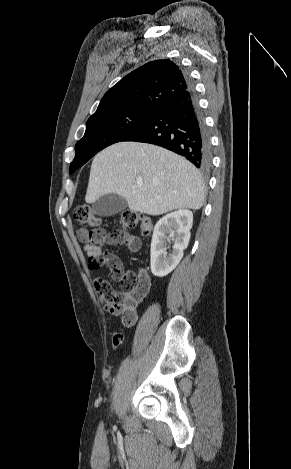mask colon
<instances>
[{
  "mask_svg": "<svg viewBox=\"0 0 291 469\" xmlns=\"http://www.w3.org/2000/svg\"><path fill=\"white\" fill-rule=\"evenodd\" d=\"M74 218L84 226L87 239L98 245L110 242H124L129 234L127 231L140 227L142 234L147 235L152 230V221L149 217L133 211L125 210L119 215V230L106 231L100 226V218L89 205H79L74 209ZM92 270L100 268L105 264L103 257H93L88 261ZM112 277L120 282V290H113L108 282H99L96 289L107 300L114 303V313L121 317L124 326L130 327L137 319V307L146 295V290L139 287L140 277L133 271L124 272L121 266L111 265ZM122 341L119 333L113 336V346L118 347Z\"/></svg>",
  "mask_w": 291,
  "mask_h": 469,
  "instance_id": "1",
  "label": "colon"
}]
</instances>
